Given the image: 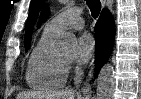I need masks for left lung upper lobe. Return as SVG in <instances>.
<instances>
[{"label":"left lung upper lobe","instance_id":"5c2ea615","mask_svg":"<svg viewBox=\"0 0 141 99\" xmlns=\"http://www.w3.org/2000/svg\"><path fill=\"white\" fill-rule=\"evenodd\" d=\"M43 1L44 0H32L31 2L29 16L26 23V33H25V46L27 49L30 46L32 29L35 24L41 3H43Z\"/></svg>","mask_w":141,"mask_h":99}]
</instances>
